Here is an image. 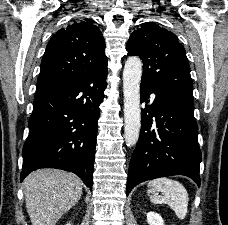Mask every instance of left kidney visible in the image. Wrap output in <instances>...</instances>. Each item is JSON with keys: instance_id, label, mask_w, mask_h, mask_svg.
Wrapping results in <instances>:
<instances>
[{"instance_id": "left-kidney-1", "label": "left kidney", "mask_w": 228, "mask_h": 225, "mask_svg": "<svg viewBox=\"0 0 228 225\" xmlns=\"http://www.w3.org/2000/svg\"><path fill=\"white\" fill-rule=\"evenodd\" d=\"M147 223L149 225H164V221L158 213H147Z\"/></svg>"}]
</instances>
